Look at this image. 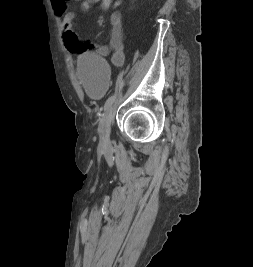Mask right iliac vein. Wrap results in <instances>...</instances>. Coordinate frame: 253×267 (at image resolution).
Wrapping results in <instances>:
<instances>
[{
    "label": "right iliac vein",
    "mask_w": 253,
    "mask_h": 267,
    "mask_svg": "<svg viewBox=\"0 0 253 267\" xmlns=\"http://www.w3.org/2000/svg\"><path fill=\"white\" fill-rule=\"evenodd\" d=\"M115 114V106H111L103 116L99 125L100 140L104 145L110 143L111 122Z\"/></svg>",
    "instance_id": "obj_1"
}]
</instances>
